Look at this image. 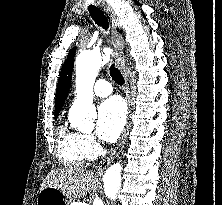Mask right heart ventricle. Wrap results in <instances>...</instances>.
I'll return each instance as SVG.
<instances>
[{
  "mask_svg": "<svg viewBox=\"0 0 222 205\" xmlns=\"http://www.w3.org/2000/svg\"><path fill=\"white\" fill-rule=\"evenodd\" d=\"M56 152L59 161L70 167L81 166L90 159L84 149L82 134L65 126L59 129Z\"/></svg>",
  "mask_w": 222,
  "mask_h": 205,
  "instance_id": "1",
  "label": "right heart ventricle"
}]
</instances>
